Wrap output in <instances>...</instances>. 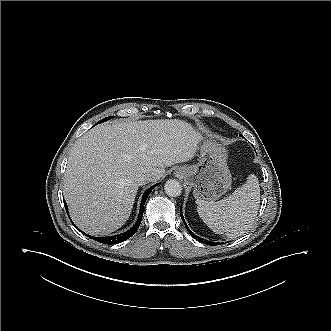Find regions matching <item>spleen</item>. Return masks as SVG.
<instances>
[{
	"instance_id": "spleen-1",
	"label": "spleen",
	"mask_w": 331,
	"mask_h": 331,
	"mask_svg": "<svg viewBox=\"0 0 331 331\" xmlns=\"http://www.w3.org/2000/svg\"><path fill=\"white\" fill-rule=\"evenodd\" d=\"M260 188L256 176L247 181L232 195L220 201H199L197 212L204 223L216 234L237 238L251 227L259 207Z\"/></svg>"
}]
</instances>
